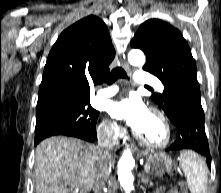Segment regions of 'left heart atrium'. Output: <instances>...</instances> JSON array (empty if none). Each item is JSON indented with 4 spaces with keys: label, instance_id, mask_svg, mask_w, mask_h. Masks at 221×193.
<instances>
[{
    "label": "left heart atrium",
    "instance_id": "obj_1",
    "mask_svg": "<svg viewBox=\"0 0 221 193\" xmlns=\"http://www.w3.org/2000/svg\"><path fill=\"white\" fill-rule=\"evenodd\" d=\"M108 111L113 118L125 122L135 131H138L149 114L144 102L133 95L110 102Z\"/></svg>",
    "mask_w": 221,
    "mask_h": 193
}]
</instances>
